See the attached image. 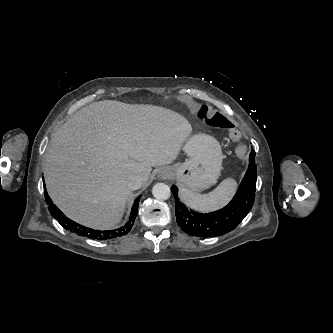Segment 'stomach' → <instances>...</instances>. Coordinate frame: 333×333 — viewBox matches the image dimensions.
Masks as SVG:
<instances>
[{"label": "stomach", "mask_w": 333, "mask_h": 333, "mask_svg": "<svg viewBox=\"0 0 333 333\" xmlns=\"http://www.w3.org/2000/svg\"><path fill=\"white\" fill-rule=\"evenodd\" d=\"M188 159L184 163L164 167L170 178L177 180L192 192L203 191L214 185L222 168V151L219 142L212 136L199 133L184 145Z\"/></svg>", "instance_id": "stomach-1"}]
</instances>
